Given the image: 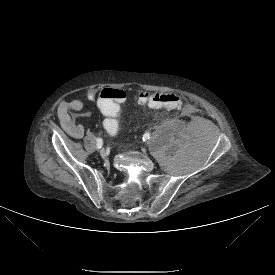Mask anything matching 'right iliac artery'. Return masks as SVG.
Wrapping results in <instances>:
<instances>
[{
  "label": "right iliac artery",
  "instance_id": "82829eb1",
  "mask_svg": "<svg viewBox=\"0 0 275 275\" xmlns=\"http://www.w3.org/2000/svg\"><path fill=\"white\" fill-rule=\"evenodd\" d=\"M102 145H103V139L102 138H98L96 140V148L100 149L102 147Z\"/></svg>",
  "mask_w": 275,
  "mask_h": 275
}]
</instances>
